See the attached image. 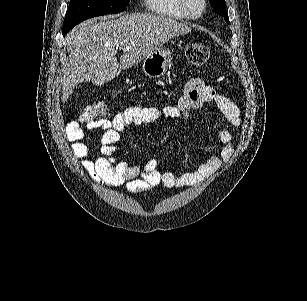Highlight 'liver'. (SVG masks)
Here are the masks:
<instances>
[{"mask_svg": "<svg viewBox=\"0 0 307 301\" xmlns=\"http://www.w3.org/2000/svg\"><path fill=\"white\" fill-rule=\"evenodd\" d=\"M191 32V22L174 20L161 14L129 12L119 18H90L74 26L65 36L68 64L62 82V100L70 98L76 84L91 80L105 84L125 68L158 50L170 38ZM124 50L119 62L118 48Z\"/></svg>", "mask_w": 307, "mask_h": 301, "instance_id": "6515ba94", "label": "liver"}]
</instances>
